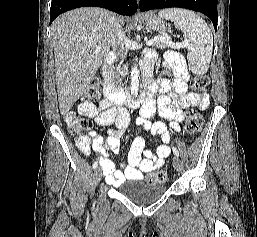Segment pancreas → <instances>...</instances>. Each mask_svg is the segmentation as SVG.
<instances>
[{
    "label": "pancreas",
    "mask_w": 257,
    "mask_h": 237,
    "mask_svg": "<svg viewBox=\"0 0 257 237\" xmlns=\"http://www.w3.org/2000/svg\"><path fill=\"white\" fill-rule=\"evenodd\" d=\"M153 46L155 48H160V49H165L168 47V45L164 42H161L159 40H155L153 42ZM128 73V65L127 64H122L119 63L118 65H116V67H114L111 71L112 76L117 79V81H121V76H125Z\"/></svg>",
    "instance_id": "cf45deb5"
}]
</instances>
